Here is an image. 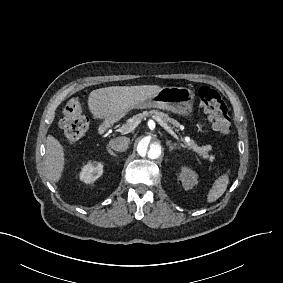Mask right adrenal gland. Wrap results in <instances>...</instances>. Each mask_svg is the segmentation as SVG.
I'll return each mask as SVG.
<instances>
[{"mask_svg": "<svg viewBox=\"0 0 283 283\" xmlns=\"http://www.w3.org/2000/svg\"><path fill=\"white\" fill-rule=\"evenodd\" d=\"M108 152L110 153V155L112 156H117L114 152H112L110 149H108Z\"/></svg>", "mask_w": 283, "mask_h": 283, "instance_id": "obj_1", "label": "right adrenal gland"}]
</instances>
